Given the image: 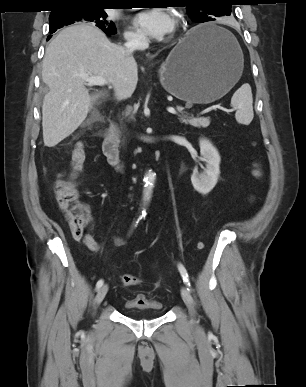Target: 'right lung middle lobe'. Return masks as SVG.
<instances>
[{
    "instance_id": "1",
    "label": "right lung middle lobe",
    "mask_w": 306,
    "mask_h": 387,
    "mask_svg": "<svg viewBox=\"0 0 306 387\" xmlns=\"http://www.w3.org/2000/svg\"><path fill=\"white\" fill-rule=\"evenodd\" d=\"M107 16L105 10L100 6L79 5L60 8L58 11L50 14V33H54L64 25L75 22H91L107 35L115 34V24L112 21L106 20Z\"/></svg>"
}]
</instances>
